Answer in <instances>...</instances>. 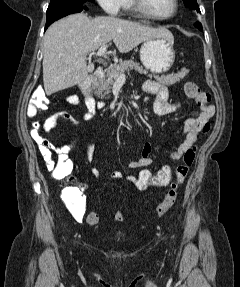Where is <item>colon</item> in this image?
I'll return each mask as SVG.
<instances>
[{"instance_id":"5ec220e1","label":"colon","mask_w":240,"mask_h":287,"mask_svg":"<svg viewBox=\"0 0 240 287\" xmlns=\"http://www.w3.org/2000/svg\"><path fill=\"white\" fill-rule=\"evenodd\" d=\"M185 94L196 101L198 105L208 104L210 96L202 91L200 87L192 81H187L184 85ZM48 99L43 92L35 94L30 100L29 106L36 111L45 110L47 108ZM33 127L39 128V123L34 122ZM210 130V124H206L203 132L207 133ZM197 149L195 146L189 148L182 157V161L175 168L165 165L157 172H151L148 169H142L138 175L135 176V187L139 190H146L149 187H167V191L155 209V215L161 217L165 215L174 205L177 192L180 185L186 180L190 168L194 162ZM53 166V176L56 179H63L67 177L72 169L69 161L58 157ZM116 221L124 220V213L117 211L114 215ZM87 223L95 225L99 222V217L95 212H89L86 216Z\"/></svg>"}]
</instances>
